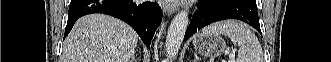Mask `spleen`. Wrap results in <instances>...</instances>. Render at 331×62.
Segmentation results:
<instances>
[{
	"mask_svg": "<svg viewBox=\"0 0 331 62\" xmlns=\"http://www.w3.org/2000/svg\"><path fill=\"white\" fill-rule=\"evenodd\" d=\"M203 34L228 36L240 46L236 62H262V48L257 37L243 24L234 20L213 23L202 29Z\"/></svg>",
	"mask_w": 331,
	"mask_h": 62,
	"instance_id": "1",
	"label": "spleen"
}]
</instances>
